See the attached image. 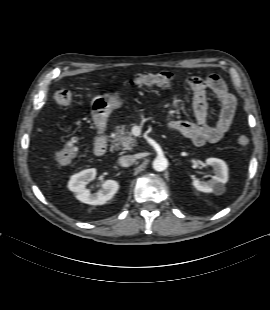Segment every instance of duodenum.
<instances>
[{
  "label": "duodenum",
  "instance_id": "obj_1",
  "mask_svg": "<svg viewBox=\"0 0 270 310\" xmlns=\"http://www.w3.org/2000/svg\"><path fill=\"white\" fill-rule=\"evenodd\" d=\"M107 126L102 123L97 128V139L94 145V154L98 157L103 156L108 147V141L106 137Z\"/></svg>",
  "mask_w": 270,
  "mask_h": 310
}]
</instances>
